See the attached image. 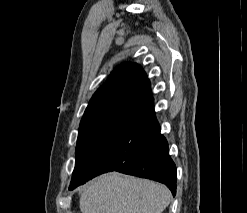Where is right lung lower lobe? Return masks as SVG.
<instances>
[{
  "mask_svg": "<svg viewBox=\"0 0 247 213\" xmlns=\"http://www.w3.org/2000/svg\"><path fill=\"white\" fill-rule=\"evenodd\" d=\"M98 169L95 176L118 171L158 181L175 195L176 166L160 134L152 97L132 106L115 142L99 159Z\"/></svg>",
  "mask_w": 247,
  "mask_h": 213,
  "instance_id": "98d812e1",
  "label": "right lung lower lobe"
}]
</instances>
